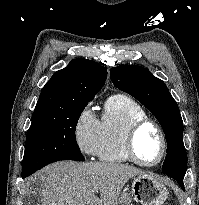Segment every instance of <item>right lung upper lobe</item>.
Listing matches in <instances>:
<instances>
[{
  "mask_svg": "<svg viewBox=\"0 0 199 205\" xmlns=\"http://www.w3.org/2000/svg\"><path fill=\"white\" fill-rule=\"evenodd\" d=\"M107 69L94 61L74 59L57 71L42 88L34 112L71 102L93 99L104 86Z\"/></svg>",
  "mask_w": 199,
  "mask_h": 205,
  "instance_id": "1",
  "label": "right lung upper lobe"
}]
</instances>
